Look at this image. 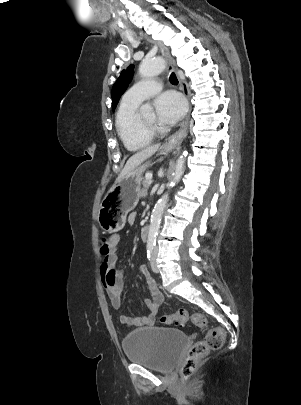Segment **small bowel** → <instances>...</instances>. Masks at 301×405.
<instances>
[{
  "label": "small bowel",
  "instance_id": "1",
  "mask_svg": "<svg viewBox=\"0 0 301 405\" xmlns=\"http://www.w3.org/2000/svg\"><path fill=\"white\" fill-rule=\"evenodd\" d=\"M134 221L135 214L132 213L128 216V222L133 224ZM108 240L111 244V248L107 254H103L104 259L100 266V275L103 287L111 305L114 308L119 309L122 305V298L125 292L124 274L121 270L117 269L119 261L117 246L120 238L119 235L114 234L113 237ZM141 271L146 277L148 289L150 291V298L145 299V305L149 312L140 317L121 315L120 322L129 327L152 325L155 322L164 299L157 284L149 275L145 266L141 267Z\"/></svg>",
  "mask_w": 301,
  "mask_h": 405
}]
</instances>
